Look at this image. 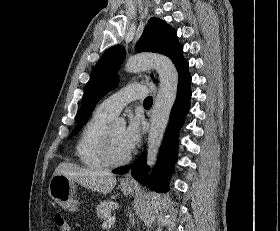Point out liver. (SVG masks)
<instances>
[{"label":"liver","instance_id":"1","mask_svg":"<svg viewBox=\"0 0 280 231\" xmlns=\"http://www.w3.org/2000/svg\"><path fill=\"white\" fill-rule=\"evenodd\" d=\"M59 173L66 175L71 181H77L82 187H87L91 191H100V193H110L117 181L113 173H95L92 169H85L68 161L59 163L53 175H59Z\"/></svg>","mask_w":280,"mask_h":231}]
</instances>
